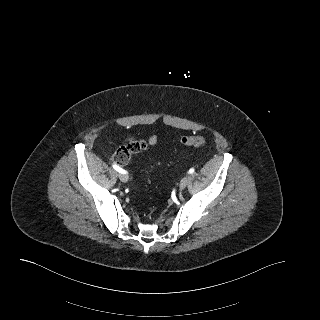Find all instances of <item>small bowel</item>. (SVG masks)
Instances as JSON below:
<instances>
[{"label": "small bowel", "mask_w": 320, "mask_h": 320, "mask_svg": "<svg viewBox=\"0 0 320 320\" xmlns=\"http://www.w3.org/2000/svg\"><path fill=\"white\" fill-rule=\"evenodd\" d=\"M133 139H134L133 137L127 138L128 143L134 141ZM146 141L149 144V146H152L157 142V136L153 134Z\"/></svg>", "instance_id": "small-bowel-1"}]
</instances>
